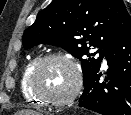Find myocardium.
<instances>
[{
	"label": "myocardium",
	"mask_w": 131,
	"mask_h": 115,
	"mask_svg": "<svg viewBox=\"0 0 131 115\" xmlns=\"http://www.w3.org/2000/svg\"><path fill=\"white\" fill-rule=\"evenodd\" d=\"M54 60H61L68 63L73 69L75 75V81L72 90L63 98H51L47 94L41 92L37 86V77L39 72L48 62ZM82 82V72L77 62L72 57L62 53L48 54L40 58L33 67L29 77L30 90L34 96L40 99L43 104L54 107H63L75 100L82 88Z\"/></svg>",
	"instance_id": "myocardium-1"
}]
</instances>
